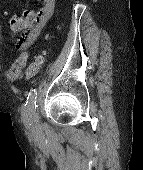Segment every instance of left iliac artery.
Segmentation results:
<instances>
[{
  "mask_svg": "<svg viewBox=\"0 0 143 170\" xmlns=\"http://www.w3.org/2000/svg\"><path fill=\"white\" fill-rule=\"evenodd\" d=\"M36 102H37V90L31 89L27 97V102L25 104L27 115H29L30 117L31 116L35 118L38 117L36 110L37 108Z\"/></svg>",
  "mask_w": 143,
  "mask_h": 170,
  "instance_id": "obj_1",
  "label": "left iliac artery"
}]
</instances>
